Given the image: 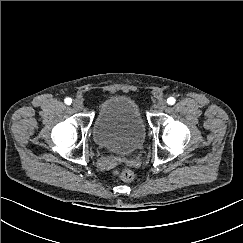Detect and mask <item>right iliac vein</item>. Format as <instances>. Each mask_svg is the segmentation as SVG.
<instances>
[{"instance_id": "1", "label": "right iliac vein", "mask_w": 243, "mask_h": 243, "mask_svg": "<svg viewBox=\"0 0 243 243\" xmlns=\"http://www.w3.org/2000/svg\"><path fill=\"white\" fill-rule=\"evenodd\" d=\"M73 107L76 110H82V108H83V102L80 99H75L73 101Z\"/></svg>"}]
</instances>
